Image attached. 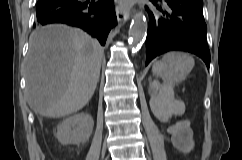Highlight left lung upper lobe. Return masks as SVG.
Segmentation results:
<instances>
[{"label": "left lung upper lobe", "mask_w": 242, "mask_h": 160, "mask_svg": "<svg viewBox=\"0 0 242 160\" xmlns=\"http://www.w3.org/2000/svg\"><path fill=\"white\" fill-rule=\"evenodd\" d=\"M190 1H192V2H194L196 4H198V5L203 6V0H190Z\"/></svg>", "instance_id": "obj_1"}]
</instances>
